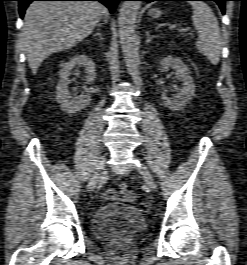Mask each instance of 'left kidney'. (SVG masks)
<instances>
[{
  "label": "left kidney",
  "instance_id": "1",
  "mask_svg": "<svg viewBox=\"0 0 247 265\" xmlns=\"http://www.w3.org/2000/svg\"><path fill=\"white\" fill-rule=\"evenodd\" d=\"M163 69H173L175 78L182 82V87L175 98L169 97L165 92L161 94L164 104L171 110H182L194 96L195 85L188 67L179 59L168 55L160 62Z\"/></svg>",
  "mask_w": 247,
  "mask_h": 265
}]
</instances>
